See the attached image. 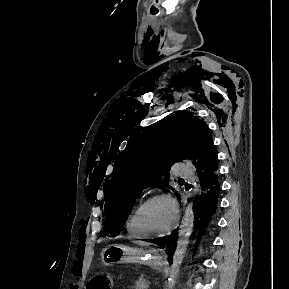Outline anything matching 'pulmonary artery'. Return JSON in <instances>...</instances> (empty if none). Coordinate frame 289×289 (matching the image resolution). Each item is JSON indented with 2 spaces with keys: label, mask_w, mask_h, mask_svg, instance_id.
I'll list each match as a JSON object with an SVG mask.
<instances>
[{
  "label": "pulmonary artery",
  "mask_w": 289,
  "mask_h": 289,
  "mask_svg": "<svg viewBox=\"0 0 289 289\" xmlns=\"http://www.w3.org/2000/svg\"><path fill=\"white\" fill-rule=\"evenodd\" d=\"M175 173L176 176L181 178L189 179L193 177V173L190 169L189 164L185 162H179L175 165Z\"/></svg>",
  "instance_id": "pulmonary-artery-1"
}]
</instances>
